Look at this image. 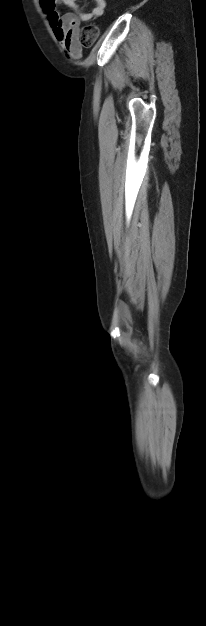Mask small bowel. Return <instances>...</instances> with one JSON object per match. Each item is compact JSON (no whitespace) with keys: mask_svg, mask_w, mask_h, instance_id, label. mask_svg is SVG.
<instances>
[{"mask_svg":"<svg viewBox=\"0 0 206 626\" xmlns=\"http://www.w3.org/2000/svg\"><path fill=\"white\" fill-rule=\"evenodd\" d=\"M95 6L90 12H84L77 0H40L41 7L53 29V33L62 45L66 54L72 59H80L83 47L80 41L81 22L90 21L103 15L106 0H94ZM59 5L72 9L71 12L60 14Z\"/></svg>","mask_w":206,"mask_h":626,"instance_id":"1","label":"small bowel"}]
</instances>
